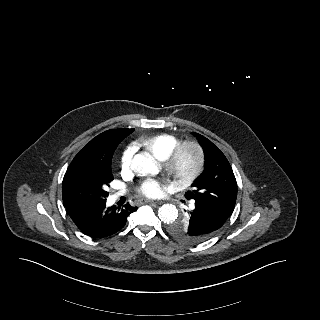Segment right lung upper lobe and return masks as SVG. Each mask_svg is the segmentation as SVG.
I'll return each mask as SVG.
<instances>
[{
	"mask_svg": "<svg viewBox=\"0 0 320 320\" xmlns=\"http://www.w3.org/2000/svg\"><path fill=\"white\" fill-rule=\"evenodd\" d=\"M133 131L134 129L120 128L110 129L99 134L80 150L71 164L86 163L93 160L106 162L110 157L112 159L115 151L113 149H116L119 143Z\"/></svg>",
	"mask_w": 320,
	"mask_h": 320,
	"instance_id": "obj_1",
	"label": "right lung upper lobe"
}]
</instances>
